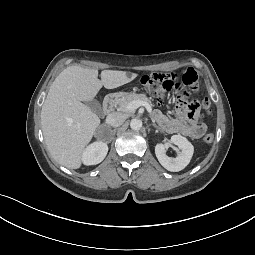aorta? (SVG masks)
<instances>
[{
    "mask_svg": "<svg viewBox=\"0 0 255 255\" xmlns=\"http://www.w3.org/2000/svg\"><path fill=\"white\" fill-rule=\"evenodd\" d=\"M130 127L132 130H140L142 127V121L140 119L134 118L130 121Z\"/></svg>",
    "mask_w": 255,
    "mask_h": 255,
    "instance_id": "aorta-1",
    "label": "aorta"
}]
</instances>
